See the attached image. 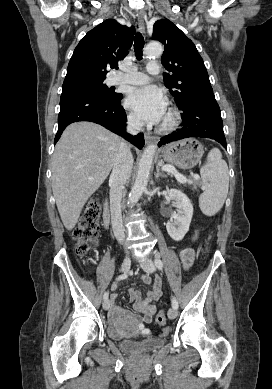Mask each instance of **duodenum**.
<instances>
[{"instance_id": "1", "label": "duodenum", "mask_w": 272, "mask_h": 389, "mask_svg": "<svg viewBox=\"0 0 272 389\" xmlns=\"http://www.w3.org/2000/svg\"><path fill=\"white\" fill-rule=\"evenodd\" d=\"M103 222H104V226L108 228L110 224V211L107 202L105 203V207H104Z\"/></svg>"}]
</instances>
